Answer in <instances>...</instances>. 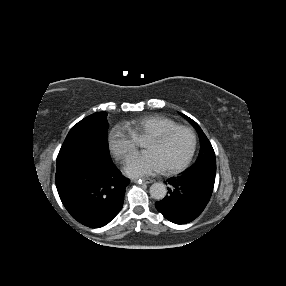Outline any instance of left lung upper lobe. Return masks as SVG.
I'll use <instances>...</instances> for the list:
<instances>
[{
	"label": "left lung upper lobe",
	"instance_id": "left-lung-upper-lobe-1",
	"mask_svg": "<svg viewBox=\"0 0 286 286\" xmlns=\"http://www.w3.org/2000/svg\"><path fill=\"white\" fill-rule=\"evenodd\" d=\"M181 115L185 117L197 129L199 138H200V152H199L196 162L194 163L192 167H195L197 165H200L206 162H211V161L216 162L213 147L210 141L208 140V138L206 137V135L203 133L202 129L191 118H189L188 116L184 114H181Z\"/></svg>",
	"mask_w": 286,
	"mask_h": 286
}]
</instances>
